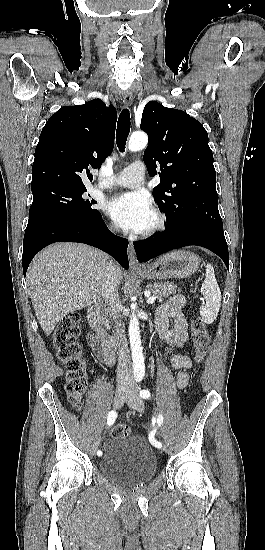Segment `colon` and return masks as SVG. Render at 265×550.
Masks as SVG:
<instances>
[{
	"mask_svg": "<svg viewBox=\"0 0 265 550\" xmlns=\"http://www.w3.org/2000/svg\"><path fill=\"white\" fill-rule=\"evenodd\" d=\"M191 327L194 360L196 363H201L209 351L211 335L205 323L200 319H194ZM80 331V315L73 312L58 323L52 336L56 357L64 364L66 369L68 399L75 409L80 408L81 397L88 384L85 360L77 341ZM129 435L130 429L125 425H116L111 430L113 438H123Z\"/></svg>",
	"mask_w": 265,
	"mask_h": 550,
	"instance_id": "obj_1",
	"label": "colon"
}]
</instances>
